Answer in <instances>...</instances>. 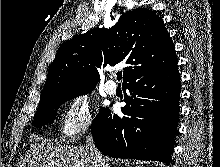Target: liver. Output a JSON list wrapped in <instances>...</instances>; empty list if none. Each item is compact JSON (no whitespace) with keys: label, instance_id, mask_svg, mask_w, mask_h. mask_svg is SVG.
<instances>
[{"label":"liver","instance_id":"6515ba94","mask_svg":"<svg viewBox=\"0 0 220 167\" xmlns=\"http://www.w3.org/2000/svg\"><path fill=\"white\" fill-rule=\"evenodd\" d=\"M17 167H95L85 146L60 145L37 140L21 158Z\"/></svg>","mask_w":220,"mask_h":167}]
</instances>
